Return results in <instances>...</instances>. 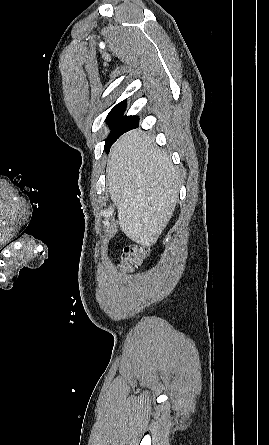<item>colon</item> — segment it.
Instances as JSON below:
<instances>
[{"label": "colon", "instance_id": "obj_1", "mask_svg": "<svg viewBox=\"0 0 269 445\" xmlns=\"http://www.w3.org/2000/svg\"><path fill=\"white\" fill-rule=\"evenodd\" d=\"M146 248L139 245H131L124 248L122 255V266L126 270L132 269L140 264L147 256Z\"/></svg>", "mask_w": 269, "mask_h": 445}]
</instances>
